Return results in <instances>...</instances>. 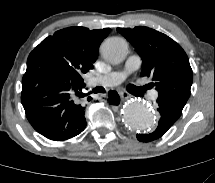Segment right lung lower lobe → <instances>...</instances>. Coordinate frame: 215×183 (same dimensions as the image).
Instances as JSON below:
<instances>
[{"label":"right lung lower lobe","mask_w":215,"mask_h":183,"mask_svg":"<svg viewBox=\"0 0 215 183\" xmlns=\"http://www.w3.org/2000/svg\"><path fill=\"white\" fill-rule=\"evenodd\" d=\"M86 90L85 83L74 79L65 67L46 72L40 55L30 53L21 101L29 122L44 137L64 141L86 128L84 100H91ZM108 101L118 105V93L109 91Z\"/></svg>","instance_id":"obj_1"}]
</instances>
